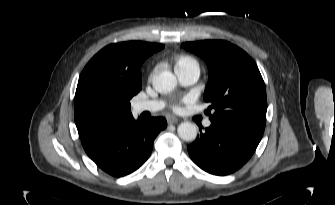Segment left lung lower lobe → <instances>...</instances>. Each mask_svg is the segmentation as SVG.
Here are the masks:
<instances>
[{
	"mask_svg": "<svg viewBox=\"0 0 335 205\" xmlns=\"http://www.w3.org/2000/svg\"><path fill=\"white\" fill-rule=\"evenodd\" d=\"M211 126L188 146L191 159L214 175H228L242 167L256 150L263 132L224 119Z\"/></svg>",
	"mask_w": 335,
	"mask_h": 205,
	"instance_id": "0a47b994",
	"label": "left lung lower lobe"
}]
</instances>
